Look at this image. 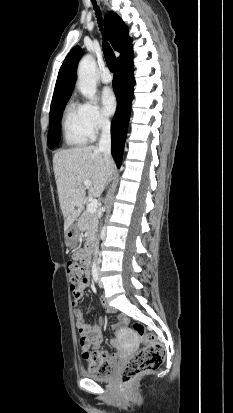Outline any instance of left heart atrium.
Here are the masks:
<instances>
[{
  "mask_svg": "<svg viewBox=\"0 0 233 413\" xmlns=\"http://www.w3.org/2000/svg\"><path fill=\"white\" fill-rule=\"evenodd\" d=\"M101 101L105 112L109 115L113 114L117 107V100L110 88H105L101 94Z\"/></svg>",
  "mask_w": 233,
  "mask_h": 413,
  "instance_id": "left-heart-atrium-1",
  "label": "left heart atrium"
}]
</instances>
